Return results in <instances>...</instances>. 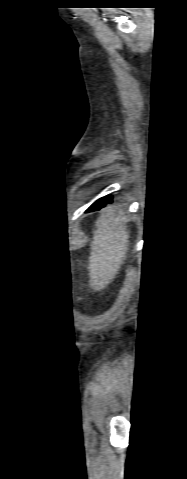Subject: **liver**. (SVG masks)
<instances>
[{
  "label": "liver",
  "instance_id": "6515ba94",
  "mask_svg": "<svg viewBox=\"0 0 187 479\" xmlns=\"http://www.w3.org/2000/svg\"><path fill=\"white\" fill-rule=\"evenodd\" d=\"M89 257V283L94 290L105 288L118 274L126 259L129 231L121 214L105 210L95 223Z\"/></svg>",
  "mask_w": 187,
  "mask_h": 479
}]
</instances>
